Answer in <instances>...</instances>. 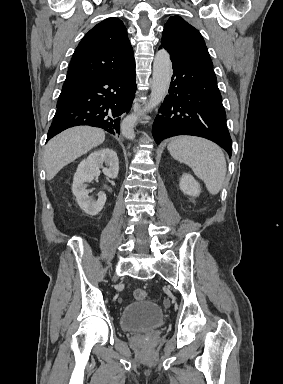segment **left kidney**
<instances>
[{"label": "left kidney", "instance_id": "1", "mask_svg": "<svg viewBox=\"0 0 283 384\" xmlns=\"http://www.w3.org/2000/svg\"><path fill=\"white\" fill-rule=\"evenodd\" d=\"M180 190L187 196H199L201 192L200 184L190 174H183L180 180Z\"/></svg>", "mask_w": 283, "mask_h": 384}]
</instances>
